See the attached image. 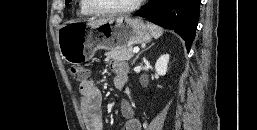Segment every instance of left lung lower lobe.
<instances>
[{
    "instance_id": "obj_1",
    "label": "left lung lower lobe",
    "mask_w": 257,
    "mask_h": 130,
    "mask_svg": "<svg viewBox=\"0 0 257 130\" xmlns=\"http://www.w3.org/2000/svg\"><path fill=\"white\" fill-rule=\"evenodd\" d=\"M200 2L201 0H150L134 16L174 30L190 48L198 24Z\"/></svg>"
}]
</instances>
